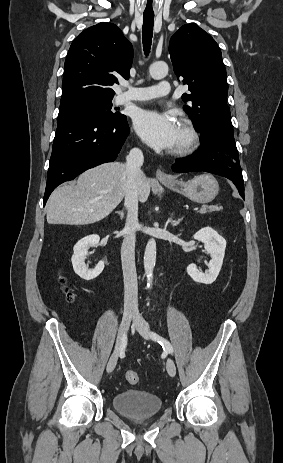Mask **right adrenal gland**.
Wrapping results in <instances>:
<instances>
[{"label": "right adrenal gland", "mask_w": 283, "mask_h": 463, "mask_svg": "<svg viewBox=\"0 0 283 463\" xmlns=\"http://www.w3.org/2000/svg\"><path fill=\"white\" fill-rule=\"evenodd\" d=\"M116 213L120 216L121 219H123L124 216H125V213H124L123 210L122 211H117Z\"/></svg>", "instance_id": "2a0ac1e0"}]
</instances>
